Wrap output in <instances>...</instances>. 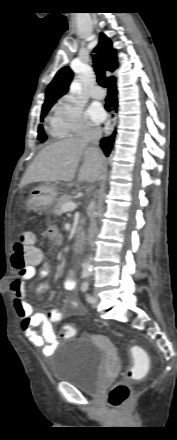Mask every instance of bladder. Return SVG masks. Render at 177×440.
I'll return each mask as SVG.
<instances>
[{
  "instance_id": "31cf9c89",
  "label": "bladder",
  "mask_w": 177,
  "mask_h": 440,
  "mask_svg": "<svg viewBox=\"0 0 177 440\" xmlns=\"http://www.w3.org/2000/svg\"><path fill=\"white\" fill-rule=\"evenodd\" d=\"M98 342L77 338L60 343L50 366L51 378L73 384L87 394H98L111 348L107 339Z\"/></svg>"
}]
</instances>
